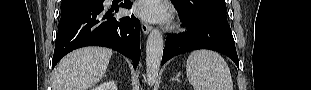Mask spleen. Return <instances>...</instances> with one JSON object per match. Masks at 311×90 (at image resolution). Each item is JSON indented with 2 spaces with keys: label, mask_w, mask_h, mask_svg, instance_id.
<instances>
[{
  "label": "spleen",
  "mask_w": 311,
  "mask_h": 90,
  "mask_svg": "<svg viewBox=\"0 0 311 90\" xmlns=\"http://www.w3.org/2000/svg\"><path fill=\"white\" fill-rule=\"evenodd\" d=\"M186 72L194 90H233L230 69L216 52L193 51L187 59Z\"/></svg>",
  "instance_id": "1"
}]
</instances>
